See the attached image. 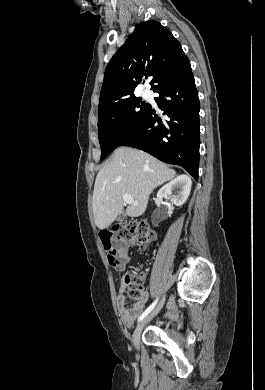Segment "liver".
I'll list each match as a JSON object with an SVG mask.
<instances>
[{"mask_svg": "<svg viewBox=\"0 0 265 390\" xmlns=\"http://www.w3.org/2000/svg\"><path fill=\"white\" fill-rule=\"evenodd\" d=\"M175 176V170L146 152L117 148L112 160L101 168L95 180L92 200L95 224L101 230L111 225L123 209L124 194L131 195L138 203L129 205L126 214L141 216L153 190Z\"/></svg>", "mask_w": 265, "mask_h": 390, "instance_id": "liver-1", "label": "liver"}]
</instances>
